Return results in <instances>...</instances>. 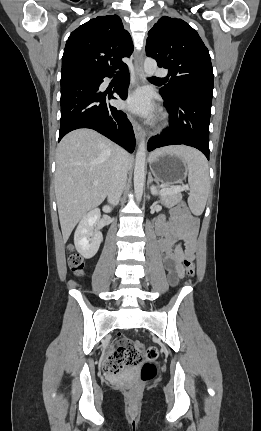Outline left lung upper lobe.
I'll return each instance as SVG.
<instances>
[{"label": "left lung upper lobe", "instance_id": "1", "mask_svg": "<svg viewBox=\"0 0 261 431\" xmlns=\"http://www.w3.org/2000/svg\"><path fill=\"white\" fill-rule=\"evenodd\" d=\"M146 53L171 80L161 90L173 97L183 90L213 93V70L208 49L198 33L182 19L164 16L148 32Z\"/></svg>", "mask_w": 261, "mask_h": 431}]
</instances>
